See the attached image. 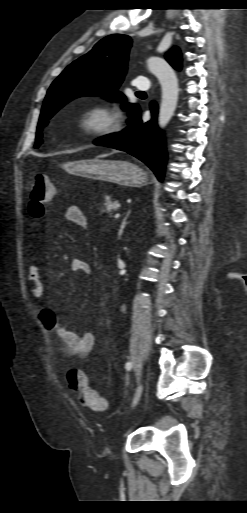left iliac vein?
<instances>
[{"mask_svg":"<svg viewBox=\"0 0 247 513\" xmlns=\"http://www.w3.org/2000/svg\"><path fill=\"white\" fill-rule=\"evenodd\" d=\"M142 393H143V383L140 382L136 388V392H135L133 402H132V408H134L138 404L139 400L141 399Z\"/></svg>","mask_w":247,"mask_h":513,"instance_id":"left-iliac-vein-1","label":"left iliac vein"}]
</instances>
